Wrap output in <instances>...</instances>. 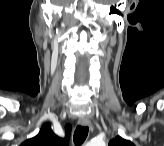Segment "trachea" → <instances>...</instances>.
Wrapping results in <instances>:
<instances>
[{"mask_svg":"<svg viewBox=\"0 0 164 146\" xmlns=\"http://www.w3.org/2000/svg\"><path fill=\"white\" fill-rule=\"evenodd\" d=\"M88 127L78 125L74 132V143L77 146L83 144L88 135Z\"/></svg>","mask_w":164,"mask_h":146,"instance_id":"obj_1","label":"trachea"}]
</instances>
